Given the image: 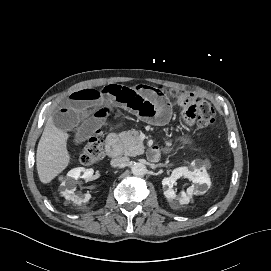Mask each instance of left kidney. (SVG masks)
<instances>
[{
    "label": "left kidney",
    "instance_id": "left-kidney-1",
    "mask_svg": "<svg viewBox=\"0 0 271 271\" xmlns=\"http://www.w3.org/2000/svg\"><path fill=\"white\" fill-rule=\"evenodd\" d=\"M184 176L188 178L195 184H199L200 186L209 185L210 179L209 176L204 168L189 170L187 167H178L175 168L169 177H165L162 180V186L164 189V195L168 200L177 199L179 203L188 204L190 199L192 198V194L195 191V186H191L187 188L186 192H181L180 196H177L175 191L173 190V184L176 182L177 179ZM203 189L205 187L203 186Z\"/></svg>",
    "mask_w": 271,
    "mask_h": 271
}]
</instances>
